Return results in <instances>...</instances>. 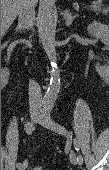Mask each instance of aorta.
I'll use <instances>...</instances> for the list:
<instances>
[{
	"label": "aorta",
	"instance_id": "obj_1",
	"mask_svg": "<svg viewBox=\"0 0 109 170\" xmlns=\"http://www.w3.org/2000/svg\"><path fill=\"white\" fill-rule=\"evenodd\" d=\"M53 3L54 0H45L39 24L42 45L51 62L50 84L44 96V102L47 104L55 103L60 90V71L57 65L55 49L57 15Z\"/></svg>",
	"mask_w": 109,
	"mask_h": 170
}]
</instances>
